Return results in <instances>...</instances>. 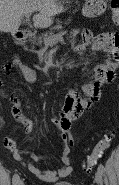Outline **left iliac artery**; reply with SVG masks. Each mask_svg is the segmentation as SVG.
Returning <instances> with one entry per match:
<instances>
[{
  "label": "left iliac artery",
  "instance_id": "44dca946",
  "mask_svg": "<svg viewBox=\"0 0 119 185\" xmlns=\"http://www.w3.org/2000/svg\"><path fill=\"white\" fill-rule=\"evenodd\" d=\"M98 170L101 171L102 173H104V171H105L104 165H103V164H100V165L98 166Z\"/></svg>",
  "mask_w": 119,
  "mask_h": 185
}]
</instances>
